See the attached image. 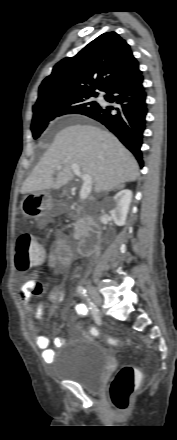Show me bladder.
Wrapping results in <instances>:
<instances>
[{"instance_id":"1","label":"bladder","mask_w":177,"mask_h":440,"mask_svg":"<svg viewBox=\"0 0 177 440\" xmlns=\"http://www.w3.org/2000/svg\"><path fill=\"white\" fill-rule=\"evenodd\" d=\"M68 353L57 361L55 377L77 383L88 391H98L108 369L107 351L94 339L66 345Z\"/></svg>"}]
</instances>
